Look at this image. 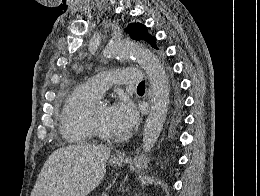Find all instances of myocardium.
<instances>
[{
    "instance_id": "myocardium-1",
    "label": "myocardium",
    "mask_w": 260,
    "mask_h": 196,
    "mask_svg": "<svg viewBox=\"0 0 260 196\" xmlns=\"http://www.w3.org/2000/svg\"><path fill=\"white\" fill-rule=\"evenodd\" d=\"M100 102H96L95 104H93V106L91 107V110H90V113H89V116H88V120H87V123H88V126L89 128L91 129V131L104 138L105 140L107 141H110L113 139V136L111 133L107 132L106 130H104L103 128H101L97 121H96V118H95V113H96V109H97V106Z\"/></svg>"
}]
</instances>
